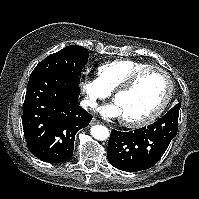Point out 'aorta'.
<instances>
[{
	"label": "aorta",
	"mask_w": 199,
	"mask_h": 199,
	"mask_svg": "<svg viewBox=\"0 0 199 199\" xmlns=\"http://www.w3.org/2000/svg\"><path fill=\"white\" fill-rule=\"evenodd\" d=\"M90 133L93 138L100 141L106 140L110 135L108 128L103 125L93 126L90 130Z\"/></svg>",
	"instance_id": "obj_1"
}]
</instances>
